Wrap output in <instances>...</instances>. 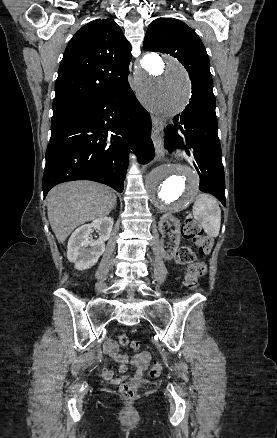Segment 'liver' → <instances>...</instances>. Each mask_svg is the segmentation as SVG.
<instances>
[{"label": "liver", "mask_w": 277, "mask_h": 438, "mask_svg": "<svg viewBox=\"0 0 277 438\" xmlns=\"http://www.w3.org/2000/svg\"><path fill=\"white\" fill-rule=\"evenodd\" d=\"M117 196L96 182H67L50 190L47 212L50 226L60 244L71 232L91 220L109 216Z\"/></svg>", "instance_id": "obj_1"}]
</instances>
